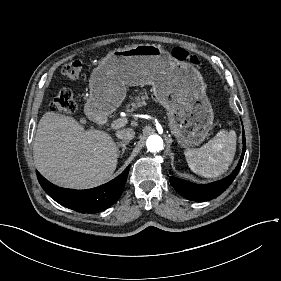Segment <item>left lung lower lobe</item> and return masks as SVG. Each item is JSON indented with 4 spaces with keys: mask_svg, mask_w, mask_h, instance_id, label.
<instances>
[{
    "mask_svg": "<svg viewBox=\"0 0 281 281\" xmlns=\"http://www.w3.org/2000/svg\"><path fill=\"white\" fill-rule=\"evenodd\" d=\"M245 150H246V142H245V133L243 130V152L236 169L232 172L231 175L220 181L213 182L210 184H204V185L194 184L172 176L170 177V183L176 189V191H178L186 199L192 201L211 200L222 194L233 182V180L235 179L241 168Z\"/></svg>",
    "mask_w": 281,
    "mask_h": 281,
    "instance_id": "1",
    "label": "left lung lower lobe"
}]
</instances>
